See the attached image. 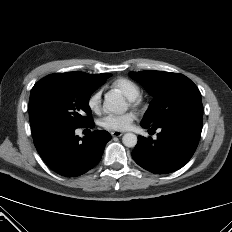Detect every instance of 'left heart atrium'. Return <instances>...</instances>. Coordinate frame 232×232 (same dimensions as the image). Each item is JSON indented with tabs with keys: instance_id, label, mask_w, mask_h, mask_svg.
Listing matches in <instances>:
<instances>
[{
	"instance_id": "1",
	"label": "left heart atrium",
	"mask_w": 232,
	"mask_h": 232,
	"mask_svg": "<svg viewBox=\"0 0 232 232\" xmlns=\"http://www.w3.org/2000/svg\"><path fill=\"white\" fill-rule=\"evenodd\" d=\"M134 120L135 114L133 112L121 115H108L102 119L101 126L106 130L121 132L130 129Z\"/></svg>"
}]
</instances>
